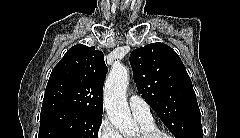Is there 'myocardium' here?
Returning <instances> with one entry per match:
<instances>
[{"label":"myocardium","instance_id":"1","mask_svg":"<svg viewBox=\"0 0 240 138\" xmlns=\"http://www.w3.org/2000/svg\"><path fill=\"white\" fill-rule=\"evenodd\" d=\"M137 138H169L168 133L158 127L142 129Z\"/></svg>","mask_w":240,"mask_h":138}]
</instances>
